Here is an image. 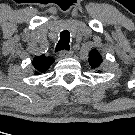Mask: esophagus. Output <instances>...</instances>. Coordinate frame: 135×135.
I'll return each instance as SVG.
<instances>
[{
  "label": "esophagus",
  "mask_w": 135,
  "mask_h": 135,
  "mask_svg": "<svg viewBox=\"0 0 135 135\" xmlns=\"http://www.w3.org/2000/svg\"><path fill=\"white\" fill-rule=\"evenodd\" d=\"M72 55H73V52L71 50H63L59 53L60 58L71 57Z\"/></svg>",
  "instance_id": "obj_1"
}]
</instances>
